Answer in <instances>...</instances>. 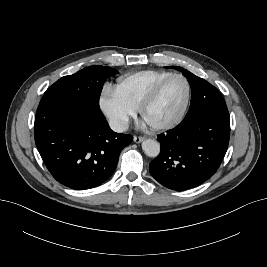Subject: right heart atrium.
<instances>
[{
	"label": "right heart atrium",
	"mask_w": 267,
	"mask_h": 267,
	"mask_svg": "<svg viewBox=\"0 0 267 267\" xmlns=\"http://www.w3.org/2000/svg\"><path fill=\"white\" fill-rule=\"evenodd\" d=\"M99 106L116 131L125 130L135 116L136 109L126 103L114 88H105L99 98Z\"/></svg>",
	"instance_id": "right-heart-atrium-1"
}]
</instances>
